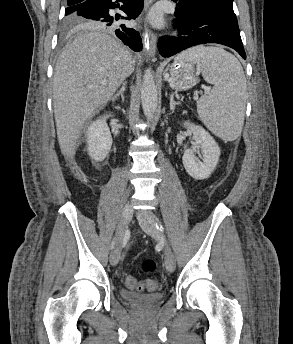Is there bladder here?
I'll list each match as a JSON object with an SVG mask.
<instances>
[{
  "mask_svg": "<svg viewBox=\"0 0 293 344\" xmlns=\"http://www.w3.org/2000/svg\"><path fill=\"white\" fill-rule=\"evenodd\" d=\"M120 295L127 302L144 306L157 305L163 300L164 297L162 293L143 294L128 289H121Z\"/></svg>",
  "mask_w": 293,
  "mask_h": 344,
  "instance_id": "31cf9c89",
  "label": "bladder"
}]
</instances>
